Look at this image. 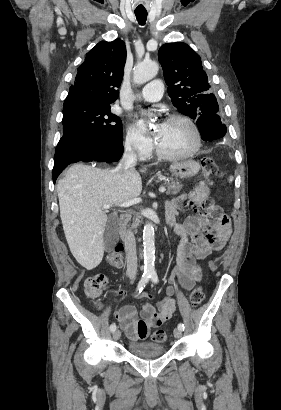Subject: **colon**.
<instances>
[{
    "label": "colon",
    "mask_w": 281,
    "mask_h": 410,
    "mask_svg": "<svg viewBox=\"0 0 281 410\" xmlns=\"http://www.w3.org/2000/svg\"><path fill=\"white\" fill-rule=\"evenodd\" d=\"M219 172L218 165L212 158H204L202 161V174L208 185L211 184L212 177ZM197 211L202 214H220V209L213 198H204L198 205ZM224 222H229L226 215H221ZM108 263L114 267H120L122 264V247L118 245L116 249L107 257ZM107 286V278L103 274L88 276L84 281V290L88 298L100 302ZM204 299V292L201 287H196L189 296V304L192 308L198 307ZM151 339L157 343H163L167 340V333L164 330L152 332Z\"/></svg>",
    "instance_id": "obj_1"
}]
</instances>
